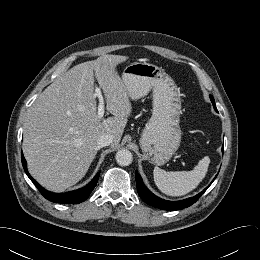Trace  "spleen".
Masks as SVG:
<instances>
[{
	"label": "spleen",
	"instance_id": "1",
	"mask_svg": "<svg viewBox=\"0 0 260 260\" xmlns=\"http://www.w3.org/2000/svg\"><path fill=\"white\" fill-rule=\"evenodd\" d=\"M210 158L205 156L191 171L166 172L159 167L153 171L158 189L169 196H182L194 190L208 171Z\"/></svg>",
	"mask_w": 260,
	"mask_h": 260
}]
</instances>
